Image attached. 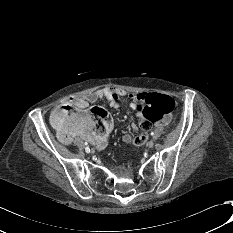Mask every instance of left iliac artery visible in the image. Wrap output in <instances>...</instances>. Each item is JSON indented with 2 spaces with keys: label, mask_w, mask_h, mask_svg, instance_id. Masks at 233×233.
Instances as JSON below:
<instances>
[{
  "label": "left iliac artery",
  "mask_w": 233,
  "mask_h": 233,
  "mask_svg": "<svg viewBox=\"0 0 233 233\" xmlns=\"http://www.w3.org/2000/svg\"><path fill=\"white\" fill-rule=\"evenodd\" d=\"M151 135L153 136V135H154V132H151Z\"/></svg>",
  "instance_id": "1"
}]
</instances>
